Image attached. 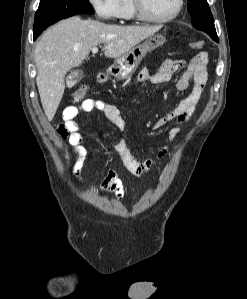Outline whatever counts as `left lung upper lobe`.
<instances>
[{
  "label": "left lung upper lobe",
  "instance_id": "1",
  "mask_svg": "<svg viewBox=\"0 0 247 299\" xmlns=\"http://www.w3.org/2000/svg\"><path fill=\"white\" fill-rule=\"evenodd\" d=\"M188 11L195 28L206 32L211 37H218L207 0H188Z\"/></svg>",
  "mask_w": 247,
  "mask_h": 299
}]
</instances>
